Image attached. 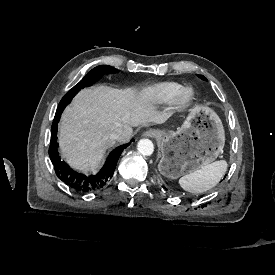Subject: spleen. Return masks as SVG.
<instances>
[{
    "label": "spleen",
    "instance_id": "obj_1",
    "mask_svg": "<svg viewBox=\"0 0 275 275\" xmlns=\"http://www.w3.org/2000/svg\"><path fill=\"white\" fill-rule=\"evenodd\" d=\"M226 170V161H215L181 177L179 179V185L183 190L191 193L205 192L213 188L220 181Z\"/></svg>",
    "mask_w": 275,
    "mask_h": 275
}]
</instances>
